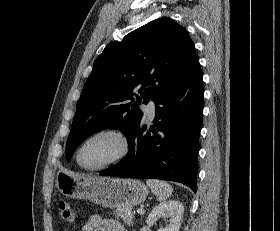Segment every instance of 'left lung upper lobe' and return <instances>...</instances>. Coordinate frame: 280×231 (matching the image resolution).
I'll list each match as a JSON object with an SVG mask.
<instances>
[{"label": "left lung upper lobe", "mask_w": 280, "mask_h": 231, "mask_svg": "<svg viewBox=\"0 0 280 231\" xmlns=\"http://www.w3.org/2000/svg\"><path fill=\"white\" fill-rule=\"evenodd\" d=\"M199 68L186 29L169 17L145 24L121 42L109 43L94 61L77 102L66 144L67 160L97 131L120 129L128 139L143 121L138 106L155 101Z\"/></svg>", "instance_id": "obj_1"}]
</instances>
